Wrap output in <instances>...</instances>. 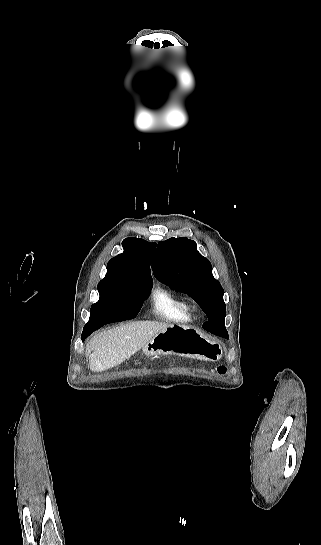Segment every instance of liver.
<instances>
[{
	"label": "liver",
	"mask_w": 321,
	"mask_h": 545,
	"mask_svg": "<svg viewBox=\"0 0 321 545\" xmlns=\"http://www.w3.org/2000/svg\"><path fill=\"white\" fill-rule=\"evenodd\" d=\"M167 327L171 325L157 321H133L98 333L86 345L90 371L102 373L121 365Z\"/></svg>",
	"instance_id": "1"
}]
</instances>
